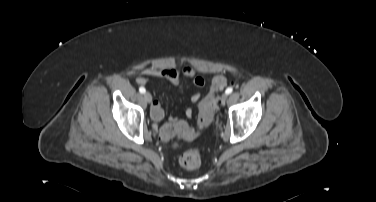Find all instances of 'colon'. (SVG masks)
<instances>
[{"mask_svg":"<svg viewBox=\"0 0 376 202\" xmlns=\"http://www.w3.org/2000/svg\"><path fill=\"white\" fill-rule=\"evenodd\" d=\"M228 84L225 76L219 75L213 78L210 90L207 96L198 106V127L199 129L207 128L213 119V113L217 107V93ZM190 132L187 125L183 122L170 123L163 126L160 135L164 140H172L175 137L189 136ZM200 154L196 149H191L184 153L180 158V163L184 168L195 169L200 165Z\"/></svg>","mask_w":376,"mask_h":202,"instance_id":"obj_1","label":"colon"}]
</instances>
